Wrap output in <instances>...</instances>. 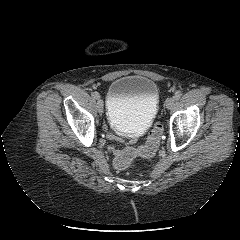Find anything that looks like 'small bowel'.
<instances>
[{"mask_svg":"<svg viewBox=\"0 0 240 240\" xmlns=\"http://www.w3.org/2000/svg\"><path fill=\"white\" fill-rule=\"evenodd\" d=\"M101 123V126H103V132H104V134L107 136V138L108 139H110L111 141H113V142H118L119 144H121V145H123V144H125V139H123V138H119L118 136H116V135H113L111 132H110V130H109V128H108V126H106V119H101V121H100ZM130 143H131V145H133V146H136V145H138V143H139V140H138V138H136V137H133V138H131V140H130ZM109 150H110V152H112L115 156H117L120 152H121V150H119V149H117V148H115V147H113V146H111V147H109Z\"/></svg>","mask_w":240,"mask_h":240,"instance_id":"c3829d8e","label":"small bowel"}]
</instances>
